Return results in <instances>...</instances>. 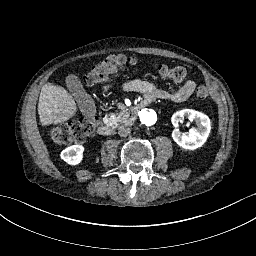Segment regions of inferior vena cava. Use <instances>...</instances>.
Masks as SVG:
<instances>
[{"instance_id": "inferior-vena-cava-1", "label": "inferior vena cava", "mask_w": 256, "mask_h": 256, "mask_svg": "<svg viewBox=\"0 0 256 256\" xmlns=\"http://www.w3.org/2000/svg\"><path fill=\"white\" fill-rule=\"evenodd\" d=\"M131 133V129L127 126H120L118 128V134L121 137H127Z\"/></svg>"}]
</instances>
